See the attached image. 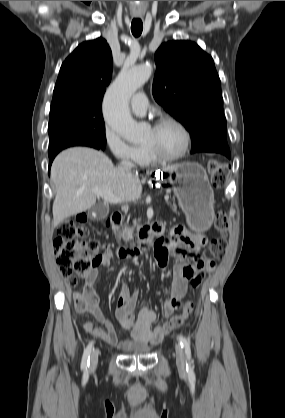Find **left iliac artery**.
Returning a JSON list of instances; mask_svg holds the SVG:
<instances>
[{"label":"left iliac artery","mask_w":285,"mask_h":418,"mask_svg":"<svg viewBox=\"0 0 285 418\" xmlns=\"http://www.w3.org/2000/svg\"><path fill=\"white\" fill-rule=\"evenodd\" d=\"M178 340L181 344V347L183 348L185 354H186V370L188 373V376L190 379L195 380V374H194V370H193V365H192V358H191V348H190V343L189 341L182 335H178Z\"/></svg>","instance_id":"1"}]
</instances>
